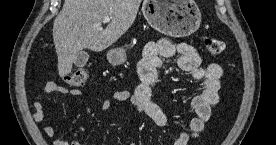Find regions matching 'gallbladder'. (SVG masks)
<instances>
[{
	"instance_id": "1",
	"label": "gallbladder",
	"mask_w": 276,
	"mask_h": 145,
	"mask_svg": "<svg viewBox=\"0 0 276 145\" xmlns=\"http://www.w3.org/2000/svg\"><path fill=\"white\" fill-rule=\"evenodd\" d=\"M88 59H89L88 53L85 51H80L74 60V64L76 67H84L88 62Z\"/></svg>"
}]
</instances>
